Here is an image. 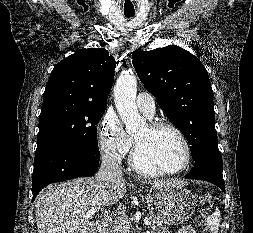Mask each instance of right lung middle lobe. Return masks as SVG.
Instances as JSON below:
<instances>
[{"label":"right lung middle lobe","mask_w":253,"mask_h":233,"mask_svg":"<svg viewBox=\"0 0 253 233\" xmlns=\"http://www.w3.org/2000/svg\"><path fill=\"white\" fill-rule=\"evenodd\" d=\"M106 104L89 102H48L42 104L37 148L58 143L100 154L96 125Z\"/></svg>","instance_id":"dd1d6c3e"}]
</instances>
